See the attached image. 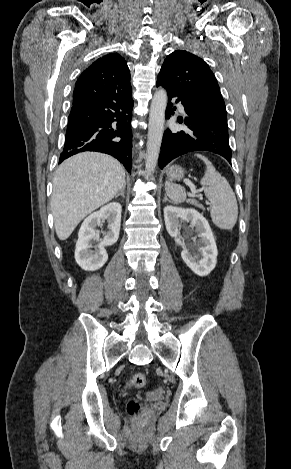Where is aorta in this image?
<instances>
[{"label":"aorta","mask_w":291,"mask_h":469,"mask_svg":"<svg viewBox=\"0 0 291 469\" xmlns=\"http://www.w3.org/2000/svg\"><path fill=\"white\" fill-rule=\"evenodd\" d=\"M166 106L167 92L162 88L158 89L152 99L149 114L147 156L145 162L148 175L154 172L158 162L164 132Z\"/></svg>","instance_id":"obj_1"}]
</instances>
